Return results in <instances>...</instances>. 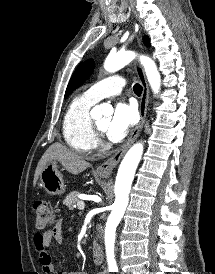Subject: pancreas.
<instances>
[{"mask_svg": "<svg viewBox=\"0 0 215 274\" xmlns=\"http://www.w3.org/2000/svg\"><path fill=\"white\" fill-rule=\"evenodd\" d=\"M78 194L77 191H73L65 198L63 203L69 210H73L74 205L79 201Z\"/></svg>", "mask_w": 215, "mask_h": 274, "instance_id": "obj_1", "label": "pancreas"}]
</instances>
